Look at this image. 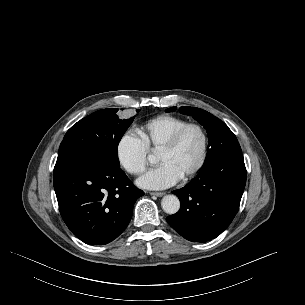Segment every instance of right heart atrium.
Listing matches in <instances>:
<instances>
[{"label":"right heart atrium","mask_w":305,"mask_h":305,"mask_svg":"<svg viewBox=\"0 0 305 305\" xmlns=\"http://www.w3.org/2000/svg\"><path fill=\"white\" fill-rule=\"evenodd\" d=\"M149 149L135 132H126L118 140L116 156L121 166L130 174L138 175L148 164Z\"/></svg>","instance_id":"d8ad5b80"}]
</instances>
